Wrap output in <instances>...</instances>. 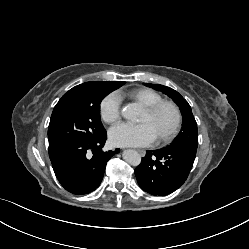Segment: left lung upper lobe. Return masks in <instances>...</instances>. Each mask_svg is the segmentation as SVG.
I'll use <instances>...</instances> for the list:
<instances>
[{
  "mask_svg": "<svg viewBox=\"0 0 249 249\" xmlns=\"http://www.w3.org/2000/svg\"><path fill=\"white\" fill-rule=\"evenodd\" d=\"M144 85L152 87L158 91H162L171 97L179 106L182 113V128L176 139L167 147L169 148H191L197 150L198 146V130L195 118L192 114L191 107L188 102L175 90L170 87L144 83Z\"/></svg>",
  "mask_w": 249,
  "mask_h": 249,
  "instance_id": "left-lung-upper-lobe-1",
  "label": "left lung upper lobe"
}]
</instances>
